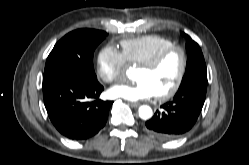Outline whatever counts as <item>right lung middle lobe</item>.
<instances>
[{"instance_id": "1", "label": "right lung middle lobe", "mask_w": 249, "mask_h": 165, "mask_svg": "<svg viewBox=\"0 0 249 165\" xmlns=\"http://www.w3.org/2000/svg\"><path fill=\"white\" fill-rule=\"evenodd\" d=\"M106 32L94 29H79L65 35L49 54L44 73L57 72L95 83L93 54Z\"/></svg>"}]
</instances>
